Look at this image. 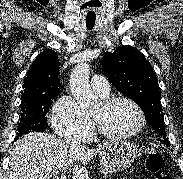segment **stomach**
<instances>
[{"mask_svg":"<svg viewBox=\"0 0 183 179\" xmlns=\"http://www.w3.org/2000/svg\"><path fill=\"white\" fill-rule=\"evenodd\" d=\"M137 156V148L131 142L113 141L100 150L99 161L103 171L112 174L129 168Z\"/></svg>","mask_w":183,"mask_h":179,"instance_id":"obj_1","label":"stomach"}]
</instances>
